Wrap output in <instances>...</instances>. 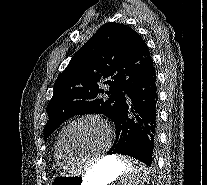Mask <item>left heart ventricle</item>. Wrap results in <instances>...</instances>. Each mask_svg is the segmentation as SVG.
<instances>
[{"instance_id":"b2bd125f","label":"left heart ventricle","mask_w":207,"mask_h":185,"mask_svg":"<svg viewBox=\"0 0 207 185\" xmlns=\"http://www.w3.org/2000/svg\"><path fill=\"white\" fill-rule=\"evenodd\" d=\"M110 139L106 127L96 120H84L71 127L66 144L74 156H83L99 152Z\"/></svg>"}]
</instances>
